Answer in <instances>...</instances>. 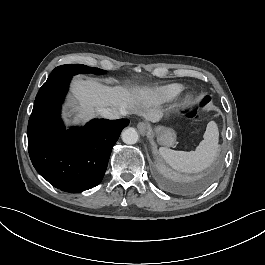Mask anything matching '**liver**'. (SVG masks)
<instances>
[{"label":"liver","instance_id":"liver-1","mask_svg":"<svg viewBox=\"0 0 265 265\" xmlns=\"http://www.w3.org/2000/svg\"><path fill=\"white\" fill-rule=\"evenodd\" d=\"M71 92L78 102V105L73 106L72 109L73 112H77L73 123H78L79 119L86 122L100 113V109L107 107L119 112L123 110L135 112L151 122L159 121L163 115V112L157 108L149 109L147 113L136 110V101L143 100L150 92L147 88L130 91L123 86H105L91 78L87 80L77 78L72 82ZM160 103V97H154L153 104L157 106Z\"/></svg>","mask_w":265,"mask_h":265}]
</instances>
